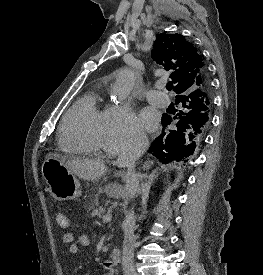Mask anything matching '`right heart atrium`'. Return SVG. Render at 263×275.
Segmentation results:
<instances>
[{"mask_svg": "<svg viewBox=\"0 0 263 275\" xmlns=\"http://www.w3.org/2000/svg\"><path fill=\"white\" fill-rule=\"evenodd\" d=\"M145 133L138 126L132 110L127 106L113 105L108 109L104 128V149L112 154L141 146Z\"/></svg>", "mask_w": 263, "mask_h": 275, "instance_id": "d8ad5b80", "label": "right heart atrium"}]
</instances>
